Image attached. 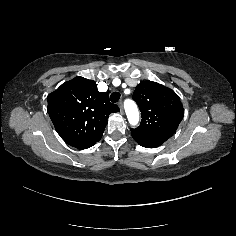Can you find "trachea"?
Returning a JSON list of instances; mask_svg holds the SVG:
<instances>
[{"mask_svg":"<svg viewBox=\"0 0 236 236\" xmlns=\"http://www.w3.org/2000/svg\"><path fill=\"white\" fill-rule=\"evenodd\" d=\"M120 99V93L119 92H113L111 95H110V101L112 103H117Z\"/></svg>","mask_w":236,"mask_h":236,"instance_id":"trachea-1","label":"trachea"}]
</instances>
